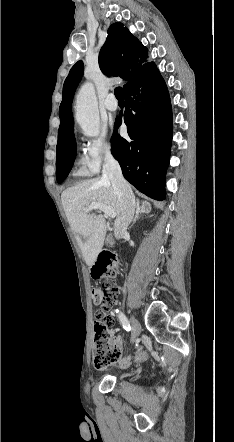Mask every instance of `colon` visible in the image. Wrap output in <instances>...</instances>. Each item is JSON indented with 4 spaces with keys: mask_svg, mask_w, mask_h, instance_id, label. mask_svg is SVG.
I'll list each match as a JSON object with an SVG mask.
<instances>
[{
    "mask_svg": "<svg viewBox=\"0 0 234 442\" xmlns=\"http://www.w3.org/2000/svg\"><path fill=\"white\" fill-rule=\"evenodd\" d=\"M117 258L113 253L102 252L92 267V276L100 280L101 286L92 290L94 303L101 305L96 314H110L109 308L114 304L118 287L115 282ZM115 321V319H114ZM111 328L107 331H96L94 325L93 363L98 369H104L117 362L120 357V346L111 334ZM147 351L138 349L130 353L128 358L122 360V366L127 365L130 360L142 361L146 359Z\"/></svg>",
    "mask_w": 234,
    "mask_h": 442,
    "instance_id": "colon-1",
    "label": "colon"
}]
</instances>
